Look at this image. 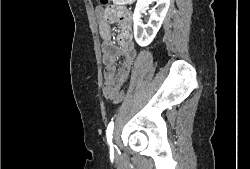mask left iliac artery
<instances>
[{
    "label": "left iliac artery",
    "instance_id": "left-iliac-artery-1",
    "mask_svg": "<svg viewBox=\"0 0 250 169\" xmlns=\"http://www.w3.org/2000/svg\"><path fill=\"white\" fill-rule=\"evenodd\" d=\"M113 129H114V122L111 121V122L108 124L107 130H106V136H107L108 144L110 145V150H113V144H112Z\"/></svg>",
    "mask_w": 250,
    "mask_h": 169
}]
</instances>
